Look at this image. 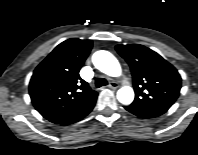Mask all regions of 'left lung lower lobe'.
I'll return each instance as SVG.
<instances>
[{
  "label": "left lung lower lobe",
  "mask_w": 198,
  "mask_h": 155,
  "mask_svg": "<svg viewBox=\"0 0 198 155\" xmlns=\"http://www.w3.org/2000/svg\"><path fill=\"white\" fill-rule=\"evenodd\" d=\"M125 109L127 111L131 112L132 114L137 115L139 117H143V118L158 117V116H160V115H162L163 113L166 112L164 110H147V109L135 107V106H132V105L125 106Z\"/></svg>",
  "instance_id": "left-lung-lower-lobe-1"
}]
</instances>
